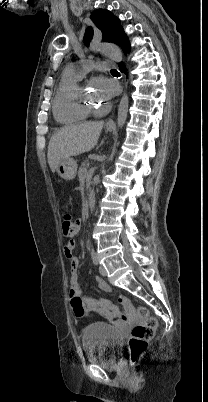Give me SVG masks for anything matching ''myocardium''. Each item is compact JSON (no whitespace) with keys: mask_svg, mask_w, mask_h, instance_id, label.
<instances>
[{"mask_svg":"<svg viewBox=\"0 0 208 402\" xmlns=\"http://www.w3.org/2000/svg\"><path fill=\"white\" fill-rule=\"evenodd\" d=\"M84 97V88L82 86H78L73 94L72 103L77 111L83 114H89L96 109V106L94 103H86L84 101Z\"/></svg>","mask_w":208,"mask_h":402,"instance_id":"obj_1","label":"myocardium"}]
</instances>
